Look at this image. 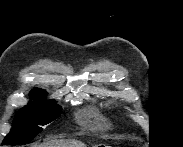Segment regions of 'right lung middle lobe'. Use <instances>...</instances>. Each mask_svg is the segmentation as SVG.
Wrapping results in <instances>:
<instances>
[{
    "label": "right lung middle lobe",
    "mask_w": 183,
    "mask_h": 147,
    "mask_svg": "<svg viewBox=\"0 0 183 147\" xmlns=\"http://www.w3.org/2000/svg\"><path fill=\"white\" fill-rule=\"evenodd\" d=\"M30 98L34 101L17 113L4 144L17 145L30 142L42 131L41 125H46L60 116L61 107L52 100L45 102L44 91H32Z\"/></svg>",
    "instance_id": "1"
}]
</instances>
